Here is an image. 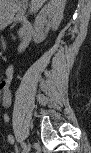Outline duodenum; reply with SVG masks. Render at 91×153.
Returning <instances> with one entry per match:
<instances>
[{"label": "duodenum", "mask_w": 91, "mask_h": 153, "mask_svg": "<svg viewBox=\"0 0 91 153\" xmlns=\"http://www.w3.org/2000/svg\"><path fill=\"white\" fill-rule=\"evenodd\" d=\"M11 18H14L15 20L19 21L21 23L20 28V41H19V52H22L26 49V47L29 45L32 34H33V26L32 24L26 19L24 13L22 10H14L10 14Z\"/></svg>", "instance_id": "410a0bca"}]
</instances>
